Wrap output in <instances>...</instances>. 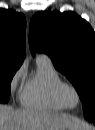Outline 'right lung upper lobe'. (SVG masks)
Returning <instances> with one entry per match:
<instances>
[{
  "mask_svg": "<svg viewBox=\"0 0 95 130\" xmlns=\"http://www.w3.org/2000/svg\"><path fill=\"white\" fill-rule=\"evenodd\" d=\"M26 19L13 10L0 9V66L19 67L25 57Z\"/></svg>",
  "mask_w": 95,
  "mask_h": 130,
  "instance_id": "1",
  "label": "right lung upper lobe"
}]
</instances>
